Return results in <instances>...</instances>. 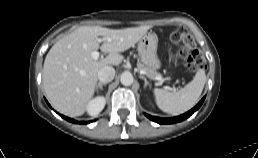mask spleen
<instances>
[{"mask_svg": "<svg viewBox=\"0 0 258 158\" xmlns=\"http://www.w3.org/2000/svg\"><path fill=\"white\" fill-rule=\"evenodd\" d=\"M206 75L203 69L197 71L192 81L178 92H169L164 89L155 88L154 96L158 107L173 115H178L192 108L198 101L204 85Z\"/></svg>", "mask_w": 258, "mask_h": 158, "instance_id": "obj_1", "label": "spleen"}]
</instances>
